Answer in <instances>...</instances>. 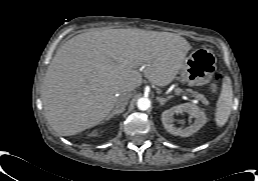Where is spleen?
<instances>
[{
  "instance_id": "obj_1",
  "label": "spleen",
  "mask_w": 258,
  "mask_h": 181,
  "mask_svg": "<svg viewBox=\"0 0 258 181\" xmlns=\"http://www.w3.org/2000/svg\"><path fill=\"white\" fill-rule=\"evenodd\" d=\"M233 105V89L231 79L226 76L223 79L221 93L216 103L215 121L218 127H222L228 121Z\"/></svg>"
}]
</instances>
